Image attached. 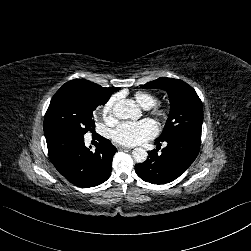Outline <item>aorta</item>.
Segmentation results:
<instances>
[{
    "instance_id": "762f6f07",
    "label": "aorta",
    "mask_w": 251,
    "mask_h": 251,
    "mask_svg": "<svg viewBox=\"0 0 251 251\" xmlns=\"http://www.w3.org/2000/svg\"><path fill=\"white\" fill-rule=\"evenodd\" d=\"M140 110L131 99H122L113 106V115L118 119H133L140 117ZM134 160L143 163L147 159V151L143 148H135L132 151Z\"/></svg>"
}]
</instances>
